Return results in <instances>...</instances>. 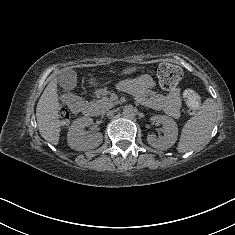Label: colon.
<instances>
[{"mask_svg": "<svg viewBox=\"0 0 235 235\" xmlns=\"http://www.w3.org/2000/svg\"><path fill=\"white\" fill-rule=\"evenodd\" d=\"M162 76H163V85L166 88L172 89L174 84H176L180 80V72L179 69L176 66L166 64L164 68L162 69ZM200 102L197 99V97L189 93L188 99H187V107L188 112L190 114H195L197 110L199 109ZM59 119L62 124H66L69 121L70 114L67 110L62 108L59 111Z\"/></svg>", "mask_w": 235, "mask_h": 235, "instance_id": "5ec220e1", "label": "colon"}]
</instances>
